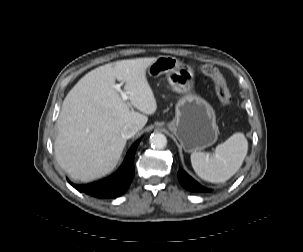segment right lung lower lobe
Here are the masks:
<instances>
[{
	"label": "right lung lower lobe",
	"instance_id": "obj_1",
	"mask_svg": "<svg viewBox=\"0 0 303 252\" xmlns=\"http://www.w3.org/2000/svg\"><path fill=\"white\" fill-rule=\"evenodd\" d=\"M139 141L130 148L121 167L110 177L87 185L70 184L78 191L97 198H115L122 195L134 177V156Z\"/></svg>",
	"mask_w": 303,
	"mask_h": 252
}]
</instances>
